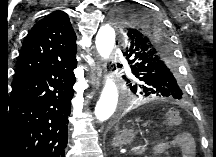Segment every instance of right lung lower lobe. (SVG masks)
<instances>
[{
  "mask_svg": "<svg viewBox=\"0 0 216 157\" xmlns=\"http://www.w3.org/2000/svg\"><path fill=\"white\" fill-rule=\"evenodd\" d=\"M76 58L12 86L0 116V157H65Z\"/></svg>",
  "mask_w": 216,
  "mask_h": 157,
  "instance_id": "obj_1",
  "label": "right lung lower lobe"
}]
</instances>
